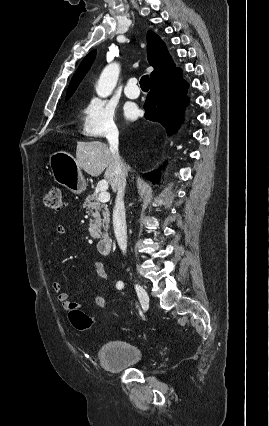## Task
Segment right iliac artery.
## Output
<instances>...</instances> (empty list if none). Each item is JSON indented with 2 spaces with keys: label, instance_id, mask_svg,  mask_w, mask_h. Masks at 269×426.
Wrapping results in <instances>:
<instances>
[{
  "label": "right iliac artery",
  "instance_id": "1",
  "mask_svg": "<svg viewBox=\"0 0 269 426\" xmlns=\"http://www.w3.org/2000/svg\"><path fill=\"white\" fill-rule=\"evenodd\" d=\"M122 287H123V284H122V283H121V284H120V283H118V284H117V288H118V289H121Z\"/></svg>",
  "mask_w": 269,
  "mask_h": 426
}]
</instances>
